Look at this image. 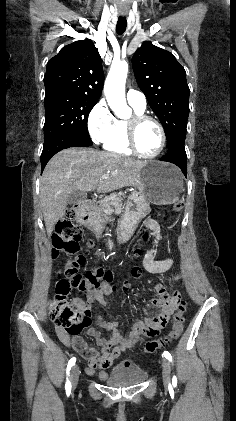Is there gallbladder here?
Returning a JSON list of instances; mask_svg holds the SVG:
<instances>
[{
  "label": "gallbladder",
  "mask_w": 236,
  "mask_h": 421,
  "mask_svg": "<svg viewBox=\"0 0 236 421\" xmlns=\"http://www.w3.org/2000/svg\"><path fill=\"white\" fill-rule=\"evenodd\" d=\"M86 192H81V190H72L70 192L67 202L68 204H74V202H80V200H85Z\"/></svg>",
  "instance_id": "bac80fb5"
}]
</instances>
